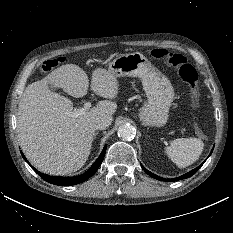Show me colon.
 <instances>
[{"instance_id":"colon-1","label":"colon","mask_w":233,"mask_h":233,"mask_svg":"<svg viewBox=\"0 0 233 233\" xmlns=\"http://www.w3.org/2000/svg\"><path fill=\"white\" fill-rule=\"evenodd\" d=\"M149 54L153 58L164 60L168 65L177 69L179 77L189 88L192 109L196 110L199 106L198 74L195 68L188 63L186 57L181 54L169 52L164 48H153L149 50ZM64 61L65 58L63 56L44 61L41 65V70L48 72ZM194 130L200 138L205 137V133L197 123L194 124Z\"/></svg>"}]
</instances>
